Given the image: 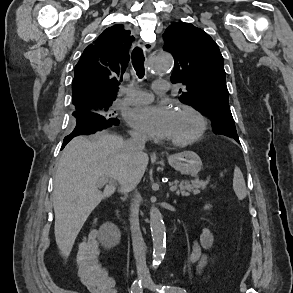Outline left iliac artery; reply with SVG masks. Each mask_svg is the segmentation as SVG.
<instances>
[{
  "instance_id": "1",
  "label": "left iliac artery",
  "mask_w": 293,
  "mask_h": 293,
  "mask_svg": "<svg viewBox=\"0 0 293 293\" xmlns=\"http://www.w3.org/2000/svg\"><path fill=\"white\" fill-rule=\"evenodd\" d=\"M157 291L159 293H186V290L179 287H171V286H165V285H158Z\"/></svg>"
}]
</instances>
